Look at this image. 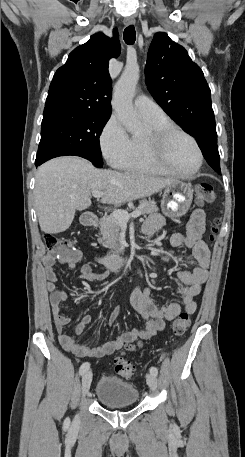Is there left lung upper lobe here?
I'll list each match as a JSON object with an SVG mask.
<instances>
[{
	"label": "left lung upper lobe",
	"instance_id": "left-lung-upper-lobe-1",
	"mask_svg": "<svg viewBox=\"0 0 245 457\" xmlns=\"http://www.w3.org/2000/svg\"><path fill=\"white\" fill-rule=\"evenodd\" d=\"M145 79L156 102L194 138L216 128L210 88L202 70L166 33L154 35Z\"/></svg>",
	"mask_w": 245,
	"mask_h": 457
}]
</instances>
